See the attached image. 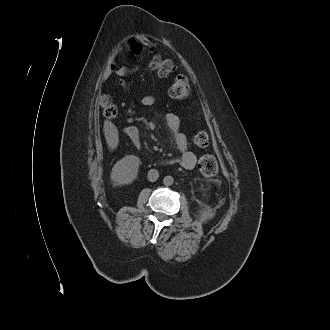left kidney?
<instances>
[{
  "label": "left kidney",
  "instance_id": "left-kidney-1",
  "mask_svg": "<svg viewBox=\"0 0 330 330\" xmlns=\"http://www.w3.org/2000/svg\"><path fill=\"white\" fill-rule=\"evenodd\" d=\"M214 215H215L214 209L210 208L207 205H203V207H201L199 210V216L201 221L203 222L212 219Z\"/></svg>",
  "mask_w": 330,
  "mask_h": 330
}]
</instances>
